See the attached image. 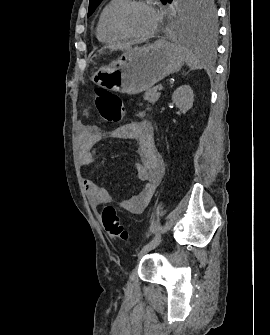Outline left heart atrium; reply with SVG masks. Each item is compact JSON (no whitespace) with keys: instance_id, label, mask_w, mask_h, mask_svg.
<instances>
[{"instance_id":"left-heart-atrium-1","label":"left heart atrium","mask_w":270,"mask_h":335,"mask_svg":"<svg viewBox=\"0 0 270 335\" xmlns=\"http://www.w3.org/2000/svg\"><path fill=\"white\" fill-rule=\"evenodd\" d=\"M150 12V14L152 15V18H153V27H152V29L157 25V23H158V17H157V15L154 13V12H152V11H149Z\"/></svg>"}]
</instances>
